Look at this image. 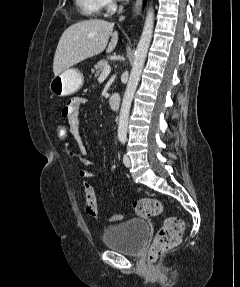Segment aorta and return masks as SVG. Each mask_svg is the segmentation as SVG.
<instances>
[{"mask_svg":"<svg viewBox=\"0 0 240 287\" xmlns=\"http://www.w3.org/2000/svg\"><path fill=\"white\" fill-rule=\"evenodd\" d=\"M154 28V10L152 7L148 9L145 19L143 31L138 42L132 70L129 81L127 83L126 91L123 97L122 106L120 109L118 122V138L119 140H126L128 130V119L131 108V103L140 81L141 73L147 57L148 49L151 43Z\"/></svg>","mask_w":240,"mask_h":287,"instance_id":"762f6f07","label":"aorta"}]
</instances>
